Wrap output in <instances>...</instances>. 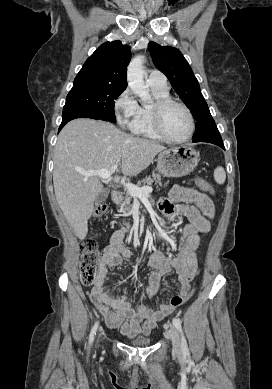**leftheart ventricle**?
Returning <instances> with one entry per match:
<instances>
[{
    "label": "left heart ventricle",
    "instance_id": "left-heart-ventricle-1",
    "mask_svg": "<svg viewBox=\"0 0 272 389\" xmlns=\"http://www.w3.org/2000/svg\"><path fill=\"white\" fill-rule=\"evenodd\" d=\"M164 131L173 138H182L189 131V119L186 112L177 105L168 106L162 115Z\"/></svg>",
    "mask_w": 272,
    "mask_h": 389
}]
</instances>
